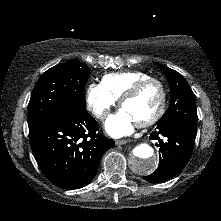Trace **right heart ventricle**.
<instances>
[{
	"label": "right heart ventricle",
	"mask_w": 221,
	"mask_h": 221,
	"mask_svg": "<svg viewBox=\"0 0 221 221\" xmlns=\"http://www.w3.org/2000/svg\"><path fill=\"white\" fill-rule=\"evenodd\" d=\"M150 77L142 71H123L106 74L102 85L118 100L137 82Z\"/></svg>",
	"instance_id": "obj_1"
}]
</instances>
